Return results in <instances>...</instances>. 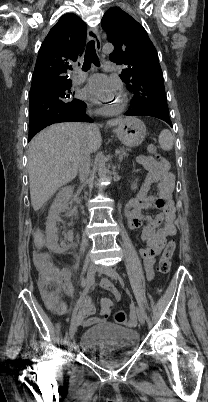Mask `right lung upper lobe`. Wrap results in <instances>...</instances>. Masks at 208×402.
I'll list each match as a JSON object with an SVG mask.
<instances>
[{"instance_id": "1", "label": "right lung upper lobe", "mask_w": 208, "mask_h": 402, "mask_svg": "<svg viewBox=\"0 0 208 402\" xmlns=\"http://www.w3.org/2000/svg\"><path fill=\"white\" fill-rule=\"evenodd\" d=\"M87 27L77 15L67 13L51 28L38 52L30 91L42 83L68 80L67 71L84 51Z\"/></svg>"}]
</instances>
